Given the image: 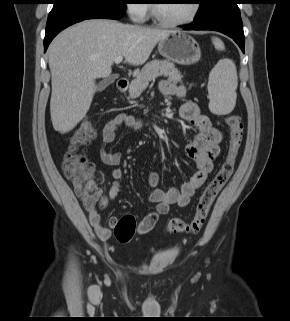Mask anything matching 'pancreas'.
<instances>
[{"label":"pancreas","mask_w":290,"mask_h":321,"mask_svg":"<svg viewBox=\"0 0 290 321\" xmlns=\"http://www.w3.org/2000/svg\"><path fill=\"white\" fill-rule=\"evenodd\" d=\"M159 76L167 77L175 83L182 82V75L175 65L167 60H153L138 72L129 87V97L135 99L148 87L149 82Z\"/></svg>","instance_id":"1"}]
</instances>
